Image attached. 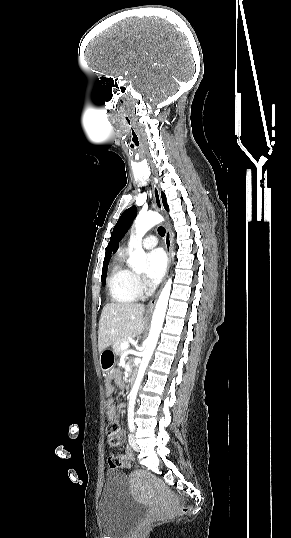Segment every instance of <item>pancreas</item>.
<instances>
[{"instance_id": "pancreas-1", "label": "pancreas", "mask_w": 291, "mask_h": 538, "mask_svg": "<svg viewBox=\"0 0 291 538\" xmlns=\"http://www.w3.org/2000/svg\"><path fill=\"white\" fill-rule=\"evenodd\" d=\"M123 342H127V339L126 338H121V339L117 340L113 345V349H114V351H115V353L117 355H121L123 353V350L121 349V344Z\"/></svg>"}]
</instances>
